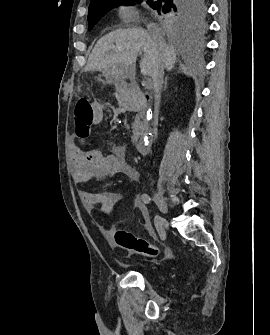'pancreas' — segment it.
Returning a JSON list of instances; mask_svg holds the SVG:
<instances>
[{"instance_id":"1","label":"pancreas","mask_w":270,"mask_h":335,"mask_svg":"<svg viewBox=\"0 0 270 335\" xmlns=\"http://www.w3.org/2000/svg\"><path fill=\"white\" fill-rule=\"evenodd\" d=\"M147 130L148 126L146 118H144L143 122H140L139 116H136V120L133 124L132 142H137L140 136H142L143 132H147Z\"/></svg>"}]
</instances>
